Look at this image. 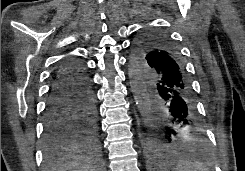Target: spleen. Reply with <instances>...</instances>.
Listing matches in <instances>:
<instances>
[{
  "instance_id": "1",
  "label": "spleen",
  "mask_w": 245,
  "mask_h": 171,
  "mask_svg": "<svg viewBox=\"0 0 245 171\" xmlns=\"http://www.w3.org/2000/svg\"><path fill=\"white\" fill-rule=\"evenodd\" d=\"M175 171H209V169L198 160L185 158L176 164Z\"/></svg>"
}]
</instances>
